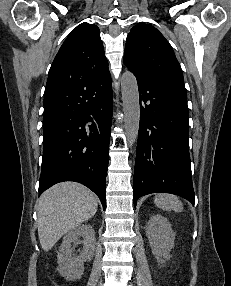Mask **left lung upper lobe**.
Listing matches in <instances>:
<instances>
[{"instance_id": "1", "label": "left lung upper lobe", "mask_w": 231, "mask_h": 286, "mask_svg": "<svg viewBox=\"0 0 231 286\" xmlns=\"http://www.w3.org/2000/svg\"><path fill=\"white\" fill-rule=\"evenodd\" d=\"M124 64L136 77L186 90L172 47L150 25L138 24L131 29L126 40Z\"/></svg>"}]
</instances>
